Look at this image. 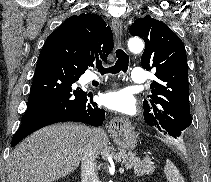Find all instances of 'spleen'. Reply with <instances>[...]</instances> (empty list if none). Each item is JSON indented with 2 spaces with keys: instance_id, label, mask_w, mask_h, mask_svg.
<instances>
[{
  "instance_id": "spleen-1",
  "label": "spleen",
  "mask_w": 211,
  "mask_h": 182,
  "mask_svg": "<svg viewBox=\"0 0 211 182\" xmlns=\"http://www.w3.org/2000/svg\"><path fill=\"white\" fill-rule=\"evenodd\" d=\"M164 173L169 182H185L178 168L169 159L166 160L164 166Z\"/></svg>"
}]
</instances>
